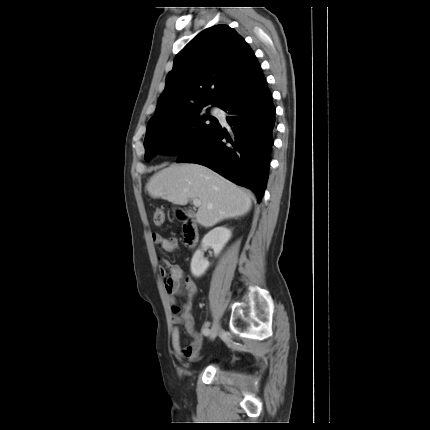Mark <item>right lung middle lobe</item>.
Segmentation results:
<instances>
[{"label": "right lung middle lobe", "mask_w": 430, "mask_h": 430, "mask_svg": "<svg viewBox=\"0 0 430 430\" xmlns=\"http://www.w3.org/2000/svg\"><path fill=\"white\" fill-rule=\"evenodd\" d=\"M205 106L193 108L147 128L145 160L156 151L181 156L196 150L218 126Z\"/></svg>", "instance_id": "dd1d6c3e"}]
</instances>
